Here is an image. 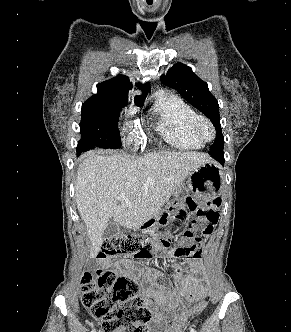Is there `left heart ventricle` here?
<instances>
[{
  "instance_id": "left-heart-ventricle-1",
  "label": "left heart ventricle",
  "mask_w": 291,
  "mask_h": 332,
  "mask_svg": "<svg viewBox=\"0 0 291 332\" xmlns=\"http://www.w3.org/2000/svg\"><path fill=\"white\" fill-rule=\"evenodd\" d=\"M204 133H205V135H209L208 129H204Z\"/></svg>"
}]
</instances>
